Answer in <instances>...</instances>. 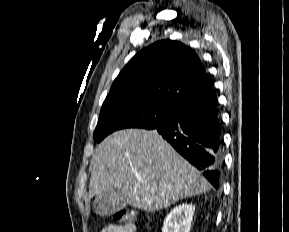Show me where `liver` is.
<instances>
[{
  "label": "liver",
  "mask_w": 289,
  "mask_h": 232,
  "mask_svg": "<svg viewBox=\"0 0 289 232\" xmlns=\"http://www.w3.org/2000/svg\"><path fill=\"white\" fill-rule=\"evenodd\" d=\"M89 198L121 189L126 202L154 212L210 190V184L155 130L116 131L96 148Z\"/></svg>",
  "instance_id": "obj_1"
}]
</instances>
